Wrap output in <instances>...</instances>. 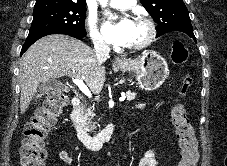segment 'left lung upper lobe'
<instances>
[{"instance_id":"obj_1","label":"left lung upper lobe","mask_w":227,"mask_h":166,"mask_svg":"<svg viewBox=\"0 0 227 166\" xmlns=\"http://www.w3.org/2000/svg\"><path fill=\"white\" fill-rule=\"evenodd\" d=\"M140 2L158 24L157 37L172 31L193 33L183 0H140Z\"/></svg>"}]
</instances>
